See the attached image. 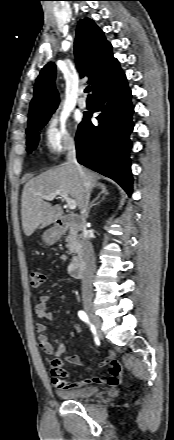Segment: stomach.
I'll list each match as a JSON object with an SVG mask.
<instances>
[{
  "instance_id": "1",
  "label": "stomach",
  "mask_w": 174,
  "mask_h": 440,
  "mask_svg": "<svg viewBox=\"0 0 174 440\" xmlns=\"http://www.w3.org/2000/svg\"><path fill=\"white\" fill-rule=\"evenodd\" d=\"M43 241L47 244V245H52L54 244L56 241L59 240L60 238V234L57 230H55L54 228L48 229L44 232L43 236Z\"/></svg>"
}]
</instances>
